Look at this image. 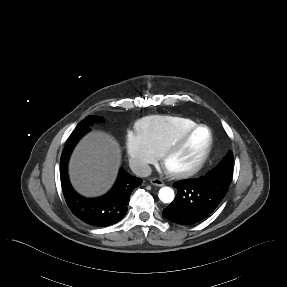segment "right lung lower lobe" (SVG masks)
Masks as SVG:
<instances>
[{
	"instance_id": "obj_1",
	"label": "right lung lower lobe",
	"mask_w": 287,
	"mask_h": 287,
	"mask_svg": "<svg viewBox=\"0 0 287 287\" xmlns=\"http://www.w3.org/2000/svg\"><path fill=\"white\" fill-rule=\"evenodd\" d=\"M90 130L89 126H84L71 133L60 160L61 185L67 205L77 218L91 226L105 227L125 216L130 195L142 180L120 170L113 188L102 197L89 199L74 191L67 174L68 160L76 143Z\"/></svg>"
}]
</instances>
